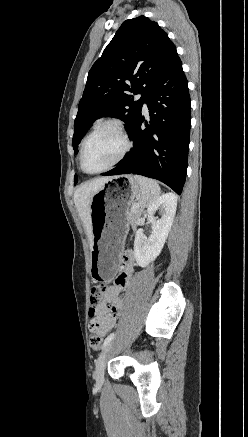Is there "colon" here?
I'll return each mask as SVG.
<instances>
[{
    "instance_id": "obj_1",
    "label": "colon",
    "mask_w": 248,
    "mask_h": 437,
    "mask_svg": "<svg viewBox=\"0 0 248 437\" xmlns=\"http://www.w3.org/2000/svg\"><path fill=\"white\" fill-rule=\"evenodd\" d=\"M107 291L106 286H98L94 285L91 288V308H90V316H91V322H90V330L92 331V334L90 336V346L94 350H98L102 343V336L97 334L95 332V329L97 327V320L95 318V310L96 307L102 302L104 299L105 293Z\"/></svg>"
}]
</instances>
